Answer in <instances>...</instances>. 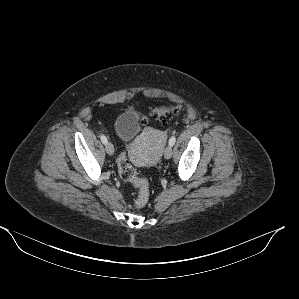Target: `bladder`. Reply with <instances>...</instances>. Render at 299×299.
Wrapping results in <instances>:
<instances>
[{"instance_id":"31cf9c89","label":"bladder","mask_w":299,"mask_h":299,"mask_svg":"<svg viewBox=\"0 0 299 299\" xmlns=\"http://www.w3.org/2000/svg\"><path fill=\"white\" fill-rule=\"evenodd\" d=\"M114 129L122 143L131 142L142 130V123L135 110H125L115 119Z\"/></svg>"}]
</instances>
